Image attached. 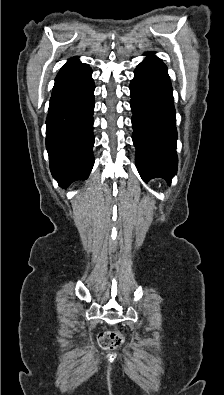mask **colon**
Returning <instances> with one entry per match:
<instances>
[{"instance_id":"5ec220e1","label":"colon","mask_w":224,"mask_h":395,"mask_svg":"<svg viewBox=\"0 0 224 395\" xmlns=\"http://www.w3.org/2000/svg\"><path fill=\"white\" fill-rule=\"evenodd\" d=\"M123 335L118 331L102 332L98 340L104 348L112 349L118 347L123 342Z\"/></svg>"}]
</instances>
